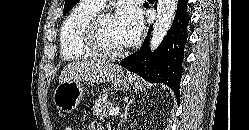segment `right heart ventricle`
<instances>
[{
    "instance_id": "1",
    "label": "right heart ventricle",
    "mask_w": 249,
    "mask_h": 130,
    "mask_svg": "<svg viewBox=\"0 0 249 130\" xmlns=\"http://www.w3.org/2000/svg\"><path fill=\"white\" fill-rule=\"evenodd\" d=\"M101 8L90 0H81L62 23L59 35L61 55L66 60L90 58L94 54L87 48L83 33L88 20Z\"/></svg>"
}]
</instances>
